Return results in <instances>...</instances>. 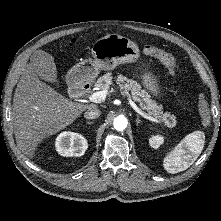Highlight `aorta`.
Masks as SVG:
<instances>
[{"label":"aorta","mask_w":221,"mask_h":221,"mask_svg":"<svg viewBox=\"0 0 221 221\" xmlns=\"http://www.w3.org/2000/svg\"><path fill=\"white\" fill-rule=\"evenodd\" d=\"M127 127V119L123 116H118L114 119V128L117 131H123Z\"/></svg>","instance_id":"1"}]
</instances>
